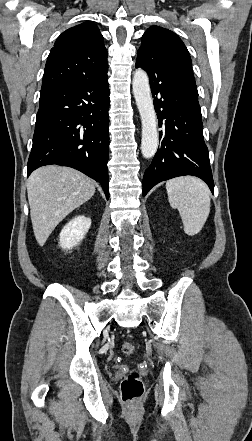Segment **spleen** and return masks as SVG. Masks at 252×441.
I'll list each match as a JSON object with an SVG mask.
<instances>
[{"instance_id":"3e777b00","label":"spleen","mask_w":252,"mask_h":441,"mask_svg":"<svg viewBox=\"0 0 252 441\" xmlns=\"http://www.w3.org/2000/svg\"><path fill=\"white\" fill-rule=\"evenodd\" d=\"M166 190L171 207L179 211L184 232L198 234L210 213L208 186L199 178L186 176L167 181Z\"/></svg>"}]
</instances>
